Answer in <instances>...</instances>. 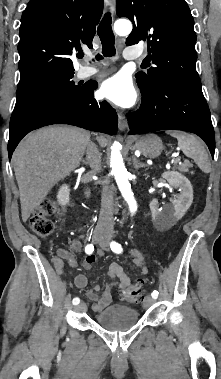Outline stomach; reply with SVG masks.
I'll return each instance as SVG.
<instances>
[{"label":"stomach","mask_w":221,"mask_h":379,"mask_svg":"<svg viewBox=\"0 0 221 379\" xmlns=\"http://www.w3.org/2000/svg\"><path fill=\"white\" fill-rule=\"evenodd\" d=\"M135 148L147 158H156L161 154L164 146L158 136L148 134L136 140Z\"/></svg>","instance_id":"stomach-1"}]
</instances>
